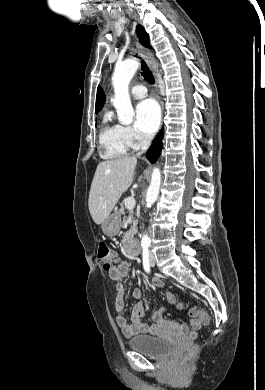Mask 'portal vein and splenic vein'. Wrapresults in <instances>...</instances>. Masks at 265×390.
<instances>
[{"mask_svg": "<svg viewBox=\"0 0 265 390\" xmlns=\"http://www.w3.org/2000/svg\"><path fill=\"white\" fill-rule=\"evenodd\" d=\"M125 207L127 209H133L135 207L136 201L134 197H128L124 201Z\"/></svg>", "mask_w": 265, "mask_h": 390, "instance_id": "1", "label": "portal vein and splenic vein"}]
</instances>
